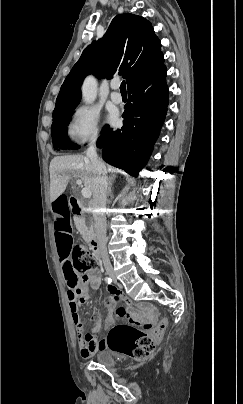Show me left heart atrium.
<instances>
[{"label":"left heart atrium","mask_w":243,"mask_h":404,"mask_svg":"<svg viewBox=\"0 0 243 404\" xmlns=\"http://www.w3.org/2000/svg\"><path fill=\"white\" fill-rule=\"evenodd\" d=\"M116 113L115 112H112V113H110L109 114V116H108V121L110 122V123H114L115 121H116Z\"/></svg>","instance_id":"39dd6f15"}]
</instances>
